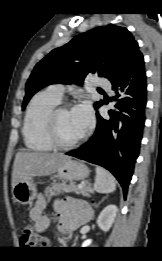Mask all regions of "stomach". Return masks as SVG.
I'll return each mask as SVG.
<instances>
[{
  "label": "stomach",
  "mask_w": 162,
  "mask_h": 261,
  "mask_svg": "<svg viewBox=\"0 0 162 261\" xmlns=\"http://www.w3.org/2000/svg\"><path fill=\"white\" fill-rule=\"evenodd\" d=\"M89 175L88 167L71 158L64 161L57 169L56 176L62 180H83ZM13 198L20 204H29L37 196L36 185L32 178L18 182L12 190Z\"/></svg>",
  "instance_id": "0dacf381"
}]
</instances>
